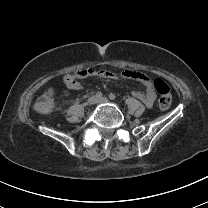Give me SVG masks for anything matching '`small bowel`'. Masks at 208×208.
Wrapping results in <instances>:
<instances>
[{
	"mask_svg": "<svg viewBox=\"0 0 208 208\" xmlns=\"http://www.w3.org/2000/svg\"><path fill=\"white\" fill-rule=\"evenodd\" d=\"M89 71L87 70L78 71L80 75V79L86 78L89 75H97L102 78H114L116 76V73L110 70H98L93 72H89ZM121 76L139 82L144 87L145 90L144 91L136 90L133 92V96L141 100L148 107H151L153 105L156 96L151 86L150 80L146 75L135 72H123ZM64 81H65V85L71 90L79 91L82 89V86L79 82L75 85H70L66 82L65 79Z\"/></svg>",
	"mask_w": 208,
	"mask_h": 208,
	"instance_id": "1",
	"label": "small bowel"
}]
</instances>
